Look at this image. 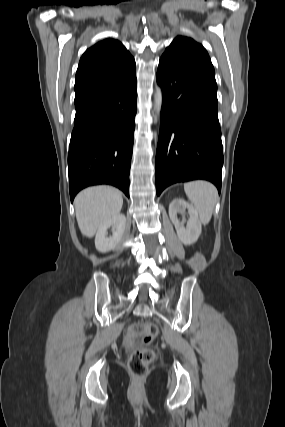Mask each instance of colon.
Instances as JSON below:
<instances>
[{"mask_svg": "<svg viewBox=\"0 0 285 427\" xmlns=\"http://www.w3.org/2000/svg\"><path fill=\"white\" fill-rule=\"evenodd\" d=\"M157 333V326L148 321L135 323L129 329V335L139 337L144 345L152 343ZM154 357V350L148 347L132 352L128 360V369L131 375L136 378H143L147 374L148 365Z\"/></svg>", "mask_w": 285, "mask_h": 427, "instance_id": "colon-1", "label": "colon"}]
</instances>
